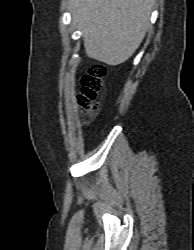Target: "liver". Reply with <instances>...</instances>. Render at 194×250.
I'll list each match as a JSON object with an SVG mask.
<instances>
[{"mask_svg":"<svg viewBox=\"0 0 194 250\" xmlns=\"http://www.w3.org/2000/svg\"><path fill=\"white\" fill-rule=\"evenodd\" d=\"M154 0H69L86 55L108 65L127 61L149 27Z\"/></svg>","mask_w":194,"mask_h":250,"instance_id":"1","label":"liver"}]
</instances>
